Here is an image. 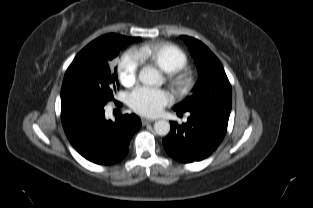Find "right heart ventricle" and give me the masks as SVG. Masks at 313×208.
<instances>
[{
  "label": "right heart ventricle",
  "mask_w": 313,
  "mask_h": 208,
  "mask_svg": "<svg viewBox=\"0 0 313 208\" xmlns=\"http://www.w3.org/2000/svg\"><path fill=\"white\" fill-rule=\"evenodd\" d=\"M136 54L141 61H148L169 74L181 70L188 62L187 55L182 49L167 42L142 45Z\"/></svg>",
  "instance_id": "1"
}]
</instances>
